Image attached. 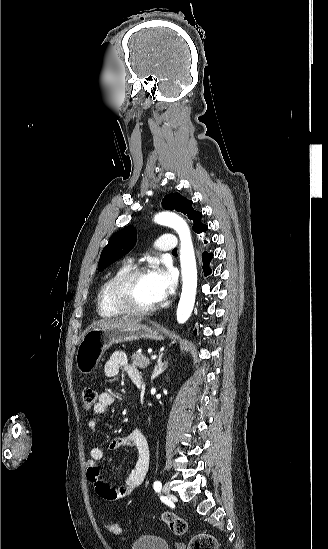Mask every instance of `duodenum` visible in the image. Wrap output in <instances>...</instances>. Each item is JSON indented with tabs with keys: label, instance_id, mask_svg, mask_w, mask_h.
Returning a JSON list of instances; mask_svg holds the SVG:
<instances>
[{
	"label": "duodenum",
	"instance_id": "duodenum-1",
	"mask_svg": "<svg viewBox=\"0 0 328 549\" xmlns=\"http://www.w3.org/2000/svg\"><path fill=\"white\" fill-rule=\"evenodd\" d=\"M133 382H134V384H135L138 388H142V387H143V382H142L140 376H136V377L133 379Z\"/></svg>",
	"mask_w": 328,
	"mask_h": 549
}]
</instances>
